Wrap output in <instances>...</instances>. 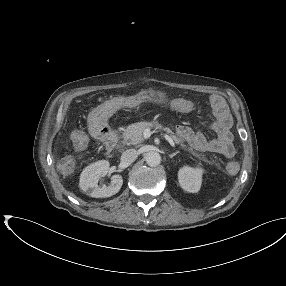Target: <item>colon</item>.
Listing matches in <instances>:
<instances>
[{
  "label": "colon",
  "instance_id": "obj_1",
  "mask_svg": "<svg viewBox=\"0 0 286 286\" xmlns=\"http://www.w3.org/2000/svg\"><path fill=\"white\" fill-rule=\"evenodd\" d=\"M86 142H87V138H86V135L84 132L78 131L73 135V143H74L75 147L82 149L86 145ZM65 162L73 163L74 160H73V158L69 157L65 160ZM237 168H238V165L236 163H229V165H228V170L231 172L236 171Z\"/></svg>",
  "mask_w": 286,
  "mask_h": 286
}]
</instances>
